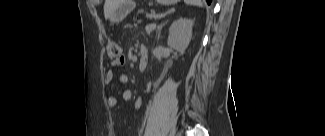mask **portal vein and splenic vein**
<instances>
[{
	"label": "portal vein and splenic vein",
	"instance_id": "portal-vein-and-splenic-vein-1",
	"mask_svg": "<svg viewBox=\"0 0 325 136\" xmlns=\"http://www.w3.org/2000/svg\"><path fill=\"white\" fill-rule=\"evenodd\" d=\"M156 25L155 24H149L146 26V29H152L154 28Z\"/></svg>",
	"mask_w": 325,
	"mask_h": 136
}]
</instances>
